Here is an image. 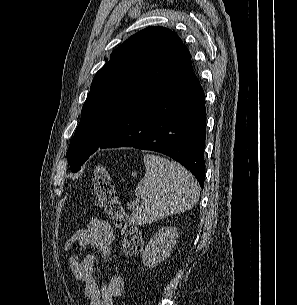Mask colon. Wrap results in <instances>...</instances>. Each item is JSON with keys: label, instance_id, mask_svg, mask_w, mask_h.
<instances>
[{"label": "colon", "instance_id": "1", "mask_svg": "<svg viewBox=\"0 0 297 305\" xmlns=\"http://www.w3.org/2000/svg\"><path fill=\"white\" fill-rule=\"evenodd\" d=\"M93 194L96 205L114 222L122 234V250L125 255H139L143 250V236L131 224L130 218L122 206L107 166L99 163L93 172Z\"/></svg>", "mask_w": 297, "mask_h": 305}]
</instances>
